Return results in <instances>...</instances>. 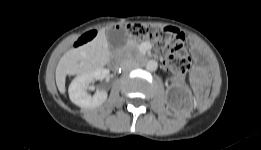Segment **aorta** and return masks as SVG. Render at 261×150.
Wrapping results in <instances>:
<instances>
[{
	"label": "aorta",
	"instance_id": "aorta-1",
	"mask_svg": "<svg viewBox=\"0 0 261 150\" xmlns=\"http://www.w3.org/2000/svg\"><path fill=\"white\" fill-rule=\"evenodd\" d=\"M157 68H158V63H157V61H155V60H149V61L146 63V69H147L148 71L153 72V71H156Z\"/></svg>",
	"mask_w": 261,
	"mask_h": 150
}]
</instances>
